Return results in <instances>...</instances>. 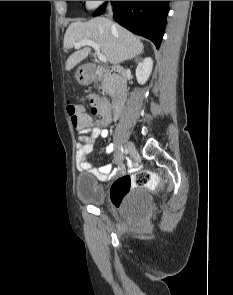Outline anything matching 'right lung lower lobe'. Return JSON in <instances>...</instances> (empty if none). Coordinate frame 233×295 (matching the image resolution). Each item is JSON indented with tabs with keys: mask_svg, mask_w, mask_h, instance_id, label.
Masks as SVG:
<instances>
[{
	"mask_svg": "<svg viewBox=\"0 0 233 295\" xmlns=\"http://www.w3.org/2000/svg\"><path fill=\"white\" fill-rule=\"evenodd\" d=\"M114 19L131 32L150 39L158 49L162 41L169 11V1H111ZM106 3L93 16L105 12Z\"/></svg>",
	"mask_w": 233,
	"mask_h": 295,
	"instance_id": "obj_1",
	"label": "right lung lower lobe"
}]
</instances>
